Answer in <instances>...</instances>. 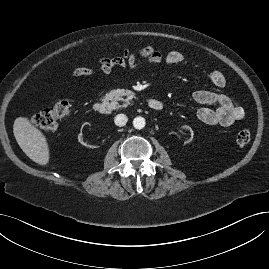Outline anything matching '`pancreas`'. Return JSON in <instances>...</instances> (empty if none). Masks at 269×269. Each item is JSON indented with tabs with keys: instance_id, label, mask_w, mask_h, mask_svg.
<instances>
[{
	"instance_id": "pancreas-1",
	"label": "pancreas",
	"mask_w": 269,
	"mask_h": 269,
	"mask_svg": "<svg viewBox=\"0 0 269 269\" xmlns=\"http://www.w3.org/2000/svg\"><path fill=\"white\" fill-rule=\"evenodd\" d=\"M124 96H127V98L124 99ZM106 98L112 101H124L125 103L122 107H126L130 104V101L135 98V93L125 89H113L106 94Z\"/></svg>"
}]
</instances>
